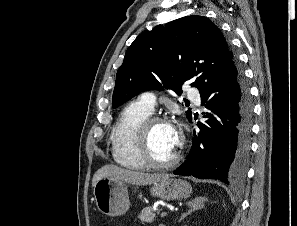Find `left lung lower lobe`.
I'll return each instance as SVG.
<instances>
[{
  "label": "left lung lower lobe",
  "instance_id": "left-lung-lower-lobe-1",
  "mask_svg": "<svg viewBox=\"0 0 297 226\" xmlns=\"http://www.w3.org/2000/svg\"><path fill=\"white\" fill-rule=\"evenodd\" d=\"M199 92L208 119L197 124L200 132L194 133L188 159L173 173L239 185L246 176L253 116L243 74L229 83L206 84Z\"/></svg>",
  "mask_w": 297,
  "mask_h": 226
}]
</instances>
